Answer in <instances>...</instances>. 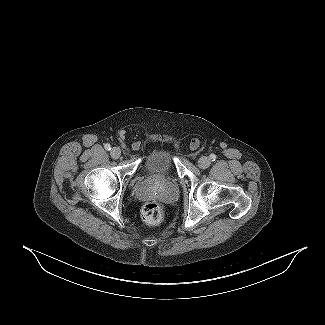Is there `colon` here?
<instances>
[{
	"label": "colon",
	"instance_id": "5ec220e1",
	"mask_svg": "<svg viewBox=\"0 0 325 325\" xmlns=\"http://www.w3.org/2000/svg\"><path fill=\"white\" fill-rule=\"evenodd\" d=\"M142 217L148 224H157L162 220L163 209L157 202L146 203L142 208Z\"/></svg>",
	"mask_w": 325,
	"mask_h": 325
}]
</instances>
